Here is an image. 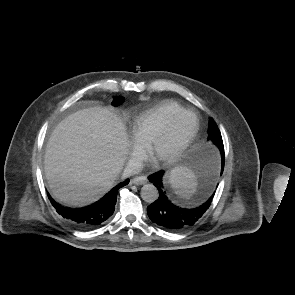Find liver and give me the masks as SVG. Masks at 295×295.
Returning a JSON list of instances; mask_svg holds the SVG:
<instances>
[{
  "label": "liver",
  "mask_w": 295,
  "mask_h": 295,
  "mask_svg": "<svg viewBox=\"0 0 295 295\" xmlns=\"http://www.w3.org/2000/svg\"><path fill=\"white\" fill-rule=\"evenodd\" d=\"M128 147L125 127L109 109L92 107L69 115L54 129L45 151L53 196L73 207L97 201L122 171Z\"/></svg>",
  "instance_id": "liver-1"
}]
</instances>
